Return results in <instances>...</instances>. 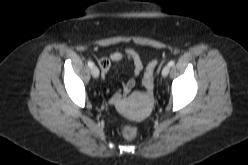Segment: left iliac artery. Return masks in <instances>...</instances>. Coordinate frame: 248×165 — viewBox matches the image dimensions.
I'll return each instance as SVG.
<instances>
[{
  "instance_id": "left-iliac-artery-1",
  "label": "left iliac artery",
  "mask_w": 248,
  "mask_h": 165,
  "mask_svg": "<svg viewBox=\"0 0 248 165\" xmlns=\"http://www.w3.org/2000/svg\"><path fill=\"white\" fill-rule=\"evenodd\" d=\"M175 64V62L173 61V60H171L170 62H169V66H173Z\"/></svg>"
}]
</instances>
